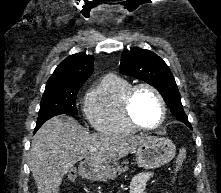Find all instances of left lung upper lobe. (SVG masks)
<instances>
[{
    "label": "left lung upper lobe",
    "mask_w": 221,
    "mask_h": 193,
    "mask_svg": "<svg viewBox=\"0 0 221 193\" xmlns=\"http://www.w3.org/2000/svg\"><path fill=\"white\" fill-rule=\"evenodd\" d=\"M119 72L143 80L157 88L172 114L191 127L183 110L175 79L166 63L149 50L133 48L121 56Z\"/></svg>",
    "instance_id": "obj_1"
}]
</instances>
